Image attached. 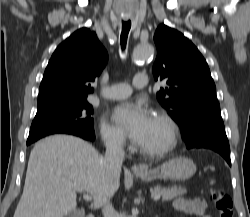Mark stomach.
Instances as JSON below:
<instances>
[{"label": "stomach", "instance_id": "0dacf381", "mask_svg": "<svg viewBox=\"0 0 250 217\" xmlns=\"http://www.w3.org/2000/svg\"><path fill=\"white\" fill-rule=\"evenodd\" d=\"M196 172L194 162L189 158L179 157L171 159L155 169H149L146 173H136L145 182L155 179L184 181L191 178Z\"/></svg>", "mask_w": 250, "mask_h": 217}]
</instances>
